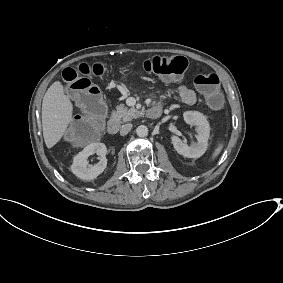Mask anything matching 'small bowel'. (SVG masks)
Segmentation results:
<instances>
[{"label":"small bowel","mask_w":283,"mask_h":283,"mask_svg":"<svg viewBox=\"0 0 283 283\" xmlns=\"http://www.w3.org/2000/svg\"><path fill=\"white\" fill-rule=\"evenodd\" d=\"M176 93L185 104L193 105L196 102L195 92L187 85H179L176 88Z\"/></svg>","instance_id":"small-bowel-1"}]
</instances>
